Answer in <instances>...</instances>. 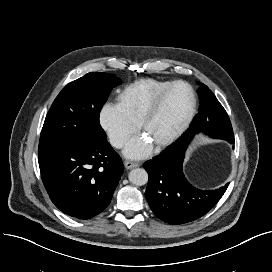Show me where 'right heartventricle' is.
Wrapping results in <instances>:
<instances>
[{
  "label": "right heart ventricle",
  "instance_id": "e07e8e85",
  "mask_svg": "<svg viewBox=\"0 0 272 272\" xmlns=\"http://www.w3.org/2000/svg\"><path fill=\"white\" fill-rule=\"evenodd\" d=\"M172 82L156 78L136 80L121 90L118 105L137 125L155 97Z\"/></svg>",
  "mask_w": 272,
  "mask_h": 272
}]
</instances>
